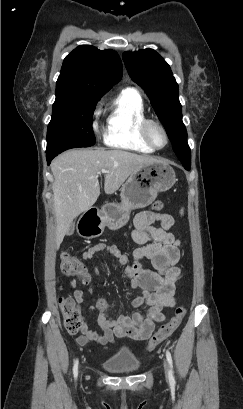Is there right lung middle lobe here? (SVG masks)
Returning <instances> with one entry per match:
<instances>
[{"mask_svg":"<svg viewBox=\"0 0 243 409\" xmlns=\"http://www.w3.org/2000/svg\"><path fill=\"white\" fill-rule=\"evenodd\" d=\"M99 97L68 94L56 90L52 119L47 131V149L89 147L95 144L92 117Z\"/></svg>","mask_w":243,"mask_h":409,"instance_id":"obj_1","label":"right lung middle lobe"}]
</instances>
